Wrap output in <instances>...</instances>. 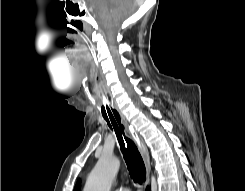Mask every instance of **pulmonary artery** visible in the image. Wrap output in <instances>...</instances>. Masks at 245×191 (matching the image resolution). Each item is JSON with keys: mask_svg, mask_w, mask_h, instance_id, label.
<instances>
[{"mask_svg": "<svg viewBox=\"0 0 245 191\" xmlns=\"http://www.w3.org/2000/svg\"><path fill=\"white\" fill-rule=\"evenodd\" d=\"M117 191H131V190L128 189V188H121V189H119V190H117Z\"/></svg>", "mask_w": 245, "mask_h": 191, "instance_id": "e3ab8cb5", "label": "pulmonary artery"}]
</instances>
